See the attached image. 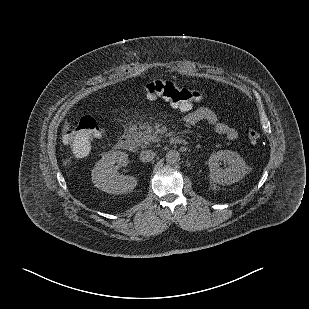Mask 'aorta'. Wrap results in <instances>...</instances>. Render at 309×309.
<instances>
[{
    "mask_svg": "<svg viewBox=\"0 0 309 309\" xmlns=\"http://www.w3.org/2000/svg\"><path fill=\"white\" fill-rule=\"evenodd\" d=\"M180 160V155L177 151H169L166 154V162L168 164H177Z\"/></svg>",
    "mask_w": 309,
    "mask_h": 309,
    "instance_id": "obj_1",
    "label": "aorta"
}]
</instances>
